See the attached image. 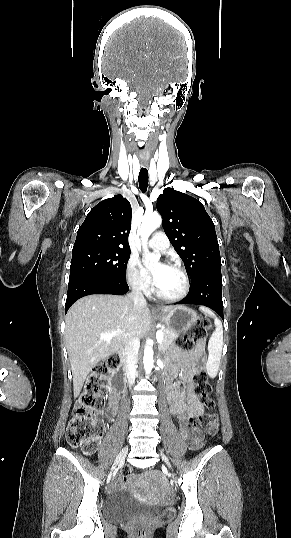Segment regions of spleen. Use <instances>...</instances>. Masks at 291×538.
Instances as JSON below:
<instances>
[{"instance_id": "3e777b00", "label": "spleen", "mask_w": 291, "mask_h": 538, "mask_svg": "<svg viewBox=\"0 0 291 538\" xmlns=\"http://www.w3.org/2000/svg\"><path fill=\"white\" fill-rule=\"evenodd\" d=\"M200 310L208 314L211 317H214V324L216 326L215 331L212 333L209 342H208V361L206 364L207 373L211 378H214L217 376L219 365H220V359H221V353H222V346H223V329L221 321L214 316L213 312L206 307H200Z\"/></svg>"}]
</instances>
